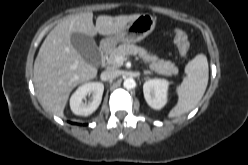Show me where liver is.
Returning a JSON list of instances; mask_svg holds the SVG:
<instances>
[{"instance_id": "liver-1", "label": "liver", "mask_w": 248, "mask_h": 165, "mask_svg": "<svg viewBox=\"0 0 248 165\" xmlns=\"http://www.w3.org/2000/svg\"><path fill=\"white\" fill-rule=\"evenodd\" d=\"M139 14L99 16L93 24V13L70 15L58 23L42 43L34 62V86L42 107L58 116L64 115L71 91L80 83L94 79L97 68L85 62L71 43V34L88 36L115 34Z\"/></svg>"}]
</instances>
